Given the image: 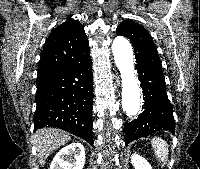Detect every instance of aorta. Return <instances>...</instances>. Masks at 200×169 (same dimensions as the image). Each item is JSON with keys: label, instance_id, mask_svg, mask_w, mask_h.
<instances>
[{"label": "aorta", "instance_id": "aorta-1", "mask_svg": "<svg viewBox=\"0 0 200 169\" xmlns=\"http://www.w3.org/2000/svg\"><path fill=\"white\" fill-rule=\"evenodd\" d=\"M112 52L122 80V107L127 116H135L140 110V88L134 74L133 50L129 41L116 37Z\"/></svg>", "mask_w": 200, "mask_h": 169}]
</instances>
